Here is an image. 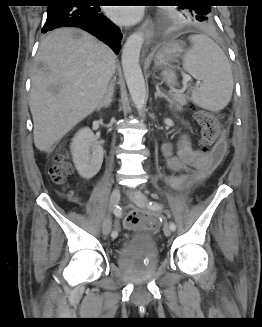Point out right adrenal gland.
<instances>
[{
    "label": "right adrenal gland",
    "mask_w": 262,
    "mask_h": 327,
    "mask_svg": "<svg viewBox=\"0 0 262 327\" xmlns=\"http://www.w3.org/2000/svg\"><path fill=\"white\" fill-rule=\"evenodd\" d=\"M112 98H113V92L112 91L107 92L104 99L102 100V102L100 103L97 109L100 110L102 107L108 108L111 105Z\"/></svg>",
    "instance_id": "right-adrenal-gland-1"
}]
</instances>
